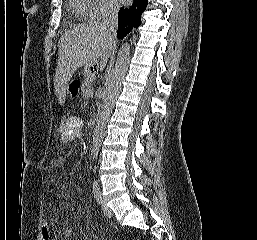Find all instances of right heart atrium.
<instances>
[{
    "instance_id": "d8ad5b80",
    "label": "right heart atrium",
    "mask_w": 257,
    "mask_h": 240,
    "mask_svg": "<svg viewBox=\"0 0 257 240\" xmlns=\"http://www.w3.org/2000/svg\"><path fill=\"white\" fill-rule=\"evenodd\" d=\"M92 7L89 18L92 20H102L113 16L118 11L116 0H91Z\"/></svg>"
}]
</instances>
